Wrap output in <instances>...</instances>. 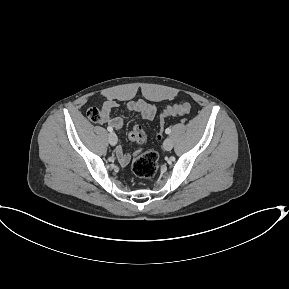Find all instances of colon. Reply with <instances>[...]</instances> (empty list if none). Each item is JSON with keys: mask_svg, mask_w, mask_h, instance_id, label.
Returning a JSON list of instances; mask_svg holds the SVG:
<instances>
[{"mask_svg": "<svg viewBox=\"0 0 289 289\" xmlns=\"http://www.w3.org/2000/svg\"><path fill=\"white\" fill-rule=\"evenodd\" d=\"M191 109L188 102L168 106L161 114V123L170 116L187 114ZM88 118L93 122H100L103 118L102 111L97 108H91L87 112ZM130 139L138 144L146 140V132L140 125L133 127L130 133ZM158 170V154L153 150L140 153L132 163V171L139 178H151Z\"/></svg>", "mask_w": 289, "mask_h": 289, "instance_id": "colon-1", "label": "colon"}]
</instances>
